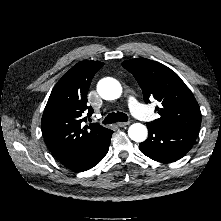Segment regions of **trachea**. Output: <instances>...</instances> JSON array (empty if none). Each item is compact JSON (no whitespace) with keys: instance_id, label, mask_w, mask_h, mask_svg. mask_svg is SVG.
I'll use <instances>...</instances> for the list:
<instances>
[{"instance_id":"trachea-1","label":"trachea","mask_w":221,"mask_h":221,"mask_svg":"<svg viewBox=\"0 0 221 221\" xmlns=\"http://www.w3.org/2000/svg\"><path fill=\"white\" fill-rule=\"evenodd\" d=\"M128 116L123 112L110 113L103 120V124H112L115 122H127Z\"/></svg>"}]
</instances>
